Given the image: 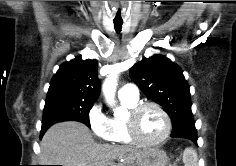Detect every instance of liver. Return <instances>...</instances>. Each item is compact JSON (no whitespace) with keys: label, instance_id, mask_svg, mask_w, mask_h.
Listing matches in <instances>:
<instances>
[{"label":"liver","instance_id":"liver-1","mask_svg":"<svg viewBox=\"0 0 236 166\" xmlns=\"http://www.w3.org/2000/svg\"><path fill=\"white\" fill-rule=\"evenodd\" d=\"M40 149L42 165L116 166V159L129 165L143 155L130 147L96 143L89 128L75 121L51 126L41 140Z\"/></svg>","mask_w":236,"mask_h":166}]
</instances>
